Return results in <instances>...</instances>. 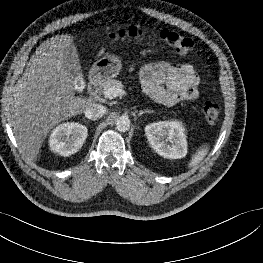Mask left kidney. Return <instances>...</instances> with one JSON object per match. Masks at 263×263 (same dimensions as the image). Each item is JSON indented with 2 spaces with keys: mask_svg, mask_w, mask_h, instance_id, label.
I'll use <instances>...</instances> for the list:
<instances>
[{
  "mask_svg": "<svg viewBox=\"0 0 263 263\" xmlns=\"http://www.w3.org/2000/svg\"><path fill=\"white\" fill-rule=\"evenodd\" d=\"M151 147L160 156L180 159L187 154L185 129L179 121H160L145 127Z\"/></svg>",
  "mask_w": 263,
  "mask_h": 263,
  "instance_id": "1",
  "label": "left kidney"
}]
</instances>
